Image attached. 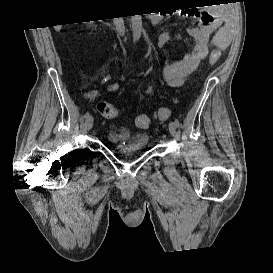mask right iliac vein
Returning <instances> with one entry per match:
<instances>
[{"mask_svg": "<svg viewBox=\"0 0 273 273\" xmlns=\"http://www.w3.org/2000/svg\"><path fill=\"white\" fill-rule=\"evenodd\" d=\"M93 123H94V118L93 116L89 115L87 118H86V121H85V128L86 130H91L92 127H93Z\"/></svg>", "mask_w": 273, "mask_h": 273, "instance_id": "obj_1", "label": "right iliac vein"}]
</instances>
